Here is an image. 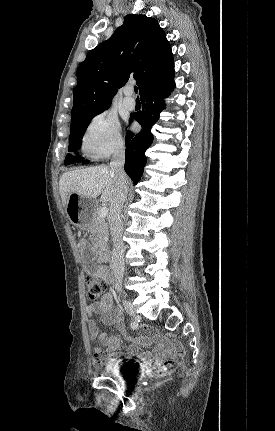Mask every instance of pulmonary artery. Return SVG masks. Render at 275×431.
I'll return each mask as SVG.
<instances>
[{"label": "pulmonary artery", "mask_w": 275, "mask_h": 431, "mask_svg": "<svg viewBox=\"0 0 275 431\" xmlns=\"http://www.w3.org/2000/svg\"><path fill=\"white\" fill-rule=\"evenodd\" d=\"M132 89L128 88L125 90V98L123 100V104L124 106L129 109V110H133L136 106V102L135 99L132 98Z\"/></svg>", "instance_id": "e3ab8cb5"}]
</instances>
